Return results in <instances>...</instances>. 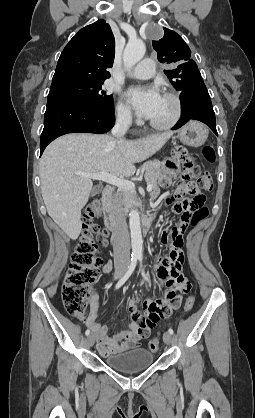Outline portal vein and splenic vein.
Listing matches in <instances>:
<instances>
[{
  "label": "portal vein and splenic vein",
  "mask_w": 255,
  "mask_h": 418,
  "mask_svg": "<svg viewBox=\"0 0 255 418\" xmlns=\"http://www.w3.org/2000/svg\"><path fill=\"white\" fill-rule=\"evenodd\" d=\"M77 175L80 177L90 178L93 180H101L124 190H128V191L135 190V184L133 182L126 180L124 178H121V177H117L115 175H112L104 171L98 172V173L78 172ZM147 191L148 192L152 191V185L150 184L147 185Z\"/></svg>",
  "instance_id": "obj_1"
}]
</instances>
